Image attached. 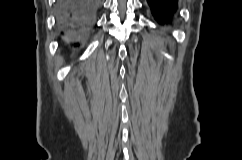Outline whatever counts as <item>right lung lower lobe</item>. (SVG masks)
<instances>
[{
	"label": "right lung lower lobe",
	"mask_w": 242,
	"mask_h": 160,
	"mask_svg": "<svg viewBox=\"0 0 242 160\" xmlns=\"http://www.w3.org/2000/svg\"><path fill=\"white\" fill-rule=\"evenodd\" d=\"M101 0H58L57 22L63 39L71 46H79L78 40L94 21Z\"/></svg>",
	"instance_id": "right-lung-lower-lobe-1"
}]
</instances>
